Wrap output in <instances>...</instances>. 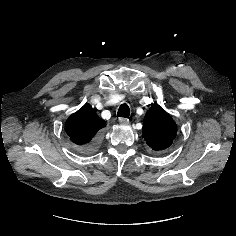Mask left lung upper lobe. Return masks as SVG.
<instances>
[{"label": "left lung upper lobe", "mask_w": 236, "mask_h": 236, "mask_svg": "<svg viewBox=\"0 0 236 236\" xmlns=\"http://www.w3.org/2000/svg\"><path fill=\"white\" fill-rule=\"evenodd\" d=\"M177 125L158 104H151L143 121L142 136L154 151L167 149L176 137Z\"/></svg>", "instance_id": "obj_1"}]
</instances>
